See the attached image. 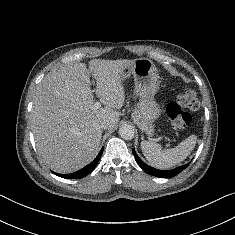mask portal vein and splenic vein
Returning a JSON list of instances; mask_svg holds the SVG:
<instances>
[{
  "mask_svg": "<svg viewBox=\"0 0 235 235\" xmlns=\"http://www.w3.org/2000/svg\"><path fill=\"white\" fill-rule=\"evenodd\" d=\"M100 107H101L100 102H95V103H94V108H95V109H99Z\"/></svg>",
  "mask_w": 235,
  "mask_h": 235,
  "instance_id": "portal-vein-and-splenic-vein-1",
  "label": "portal vein and splenic vein"
}]
</instances>
